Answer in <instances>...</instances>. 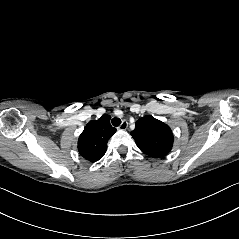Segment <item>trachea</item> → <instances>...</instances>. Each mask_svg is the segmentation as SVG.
I'll return each mask as SVG.
<instances>
[{"label":"trachea","mask_w":239,"mask_h":239,"mask_svg":"<svg viewBox=\"0 0 239 239\" xmlns=\"http://www.w3.org/2000/svg\"><path fill=\"white\" fill-rule=\"evenodd\" d=\"M111 122H112V125H113V126L117 127V126H119V125L121 124V119L115 117V118L112 119Z\"/></svg>","instance_id":"3493384b"}]
</instances>
